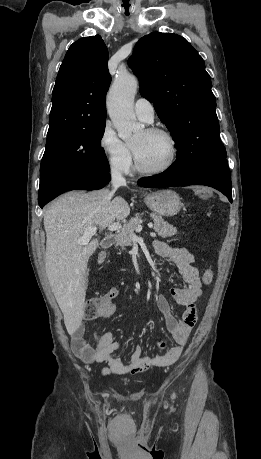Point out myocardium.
<instances>
[{"mask_svg": "<svg viewBox=\"0 0 261 459\" xmlns=\"http://www.w3.org/2000/svg\"><path fill=\"white\" fill-rule=\"evenodd\" d=\"M148 134H154V135H161L163 137H165L168 142H169V146H170V155H169V159L167 160V162L160 166V167H157V168H144L142 167L138 160H137V157L132 149V153H133V157H134V163H135V169L138 173L142 174V175H147V176H150V175H158V174H162L166 171H168L173 165L174 163L176 162V159H177V154H178V148H177V143H176V140L174 138V136L167 130L165 129H162V128H158V127H150V128H147L145 130Z\"/></svg>", "mask_w": 261, "mask_h": 459, "instance_id": "f54148a6", "label": "myocardium"}]
</instances>
